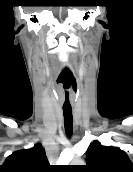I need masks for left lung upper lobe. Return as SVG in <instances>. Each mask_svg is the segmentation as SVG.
<instances>
[{"label":"left lung upper lobe","mask_w":133,"mask_h":172,"mask_svg":"<svg viewBox=\"0 0 133 172\" xmlns=\"http://www.w3.org/2000/svg\"><path fill=\"white\" fill-rule=\"evenodd\" d=\"M85 172H133L127 154L116 147L102 146L93 141L87 149Z\"/></svg>","instance_id":"obj_1"}]
</instances>
